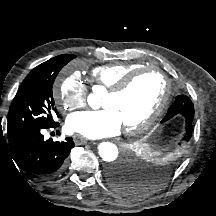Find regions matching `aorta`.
Listing matches in <instances>:
<instances>
[{
    "label": "aorta",
    "instance_id": "aorta-1",
    "mask_svg": "<svg viewBox=\"0 0 216 216\" xmlns=\"http://www.w3.org/2000/svg\"><path fill=\"white\" fill-rule=\"evenodd\" d=\"M98 90L99 87H96L94 92L88 96V104L94 109H97L101 103V97ZM98 153L104 161L113 162L118 157V148L111 142H102L98 146Z\"/></svg>",
    "mask_w": 216,
    "mask_h": 216
}]
</instances>
